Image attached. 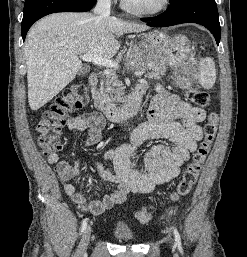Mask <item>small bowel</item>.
<instances>
[{"mask_svg":"<svg viewBox=\"0 0 247 257\" xmlns=\"http://www.w3.org/2000/svg\"><path fill=\"white\" fill-rule=\"evenodd\" d=\"M205 111L194 107L174 93H168L157 87L148 109V120L137 127L130 135L129 141L104 153V160L112 165L113 170L100 161L92 160L98 177L104 182L117 185L111 194L99 200H86L71 182L81 175L82 164L87 158H81L72 167L60 159L58 153L48 155L47 161L54 165L65 193L82 209L93 215H100L114 205L123 203L128 194L145 195L151 193L156 185L170 182L179 175L180 167L195 151L198 141L202 139L200 123L205 118ZM181 120L183 124L178 121ZM69 130L88 131L86 147L99 143L101 132L105 127L104 118L96 113L77 115L66 122ZM150 139H166L174 143L152 146L143 157L144 172H139L131 162L133 151Z\"/></svg>","mask_w":247,"mask_h":257,"instance_id":"1","label":"small bowel"}]
</instances>
